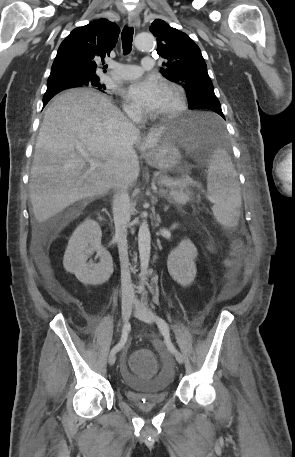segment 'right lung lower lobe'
Returning a JSON list of instances; mask_svg holds the SVG:
<instances>
[{
  "label": "right lung lower lobe",
  "instance_id": "1",
  "mask_svg": "<svg viewBox=\"0 0 295 457\" xmlns=\"http://www.w3.org/2000/svg\"><path fill=\"white\" fill-rule=\"evenodd\" d=\"M73 87H79V86H74L71 83H64V82H58V83H52V84H47V90H56V91H62L64 89L68 88H73ZM47 102L43 100V105L45 106Z\"/></svg>",
  "mask_w": 295,
  "mask_h": 457
}]
</instances>
